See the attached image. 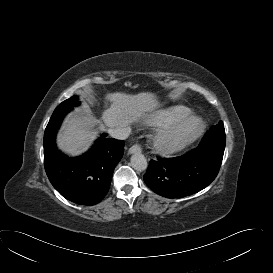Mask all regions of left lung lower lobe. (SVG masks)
I'll use <instances>...</instances> for the list:
<instances>
[{"instance_id": "obj_1", "label": "left lung lower lobe", "mask_w": 273, "mask_h": 273, "mask_svg": "<svg viewBox=\"0 0 273 273\" xmlns=\"http://www.w3.org/2000/svg\"><path fill=\"white\" fill-rule=\"evenodd\" d=\"M223 155L202 146L174 158L151 160L144 181L166 198H182L206 188L217 176Z\"/></svg>"}]
</instances>
